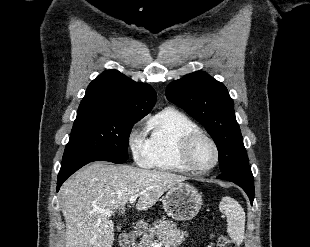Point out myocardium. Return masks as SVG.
Wrapping results in <instances>:
<instances>
[{
  "label": "myocardium",
  "mask_w": 310,
  "mask_h": 247,
  "mask_svg": "<svg viewBox=\"0 0 310 247\" xmlns=\"http://www.w3.org/2000/svg\"><path fill=\"white\" fill-rule=\"evenodd\" d=\"M202 139L207 140L212 145L215 151V160L210 166H207V167H197L194 165L192 161L193 148L195 144L199 140H202ZM180 157H181L183 164L188 169V171L197 173V174H202V173H206L212 170L213 168L217 166L220 160V150H219L217 143L212 137H210L209 135H207L206 133L202 131H197V132L190 133L184 137L182 141L181 149H180Z\"/></svg>",
  "instance_id": "1"
}]
</instances>
